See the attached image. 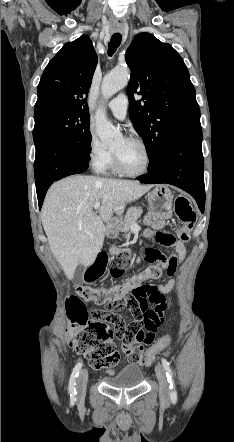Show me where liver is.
<instances>
[{
    "label": "liver",
    "mask_w": 234,
    "mask_h": 442,
    "mask_svg": "<svg viewBox=\"0 0 234 442\" xmlns=\"http://www.w3.org/2000/svg\"><path fill=\"white\" fill-rule=\"evenodd\" d=\"M152 185L135 181L71 176L48 190L41 221L53 255L68 279L79 264L87 267L101 251L108 223L116 207L137 200ZM100 202L99 215L93 211Z\"/></svg>",
    "instance_id": "liver-1"
}]
</instances>
